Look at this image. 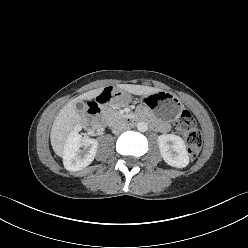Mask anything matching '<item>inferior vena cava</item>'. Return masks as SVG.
<instances>
[{
	"mask_svg": "<svg viewBox=\"0 0 248 248\" xmlns=\"http://www.w3.org/2000/svg\"><path fill=\"white\" fill-rule=\"evenodd\" d=\"M127 129H128V126L123 122H116L112 125L113 134H120Z\"/></svg>",
	"mask_w": 248,
	"mask_h": 248,
	"instance_id": "obj_1",
	"label": "inferior vena cava"
}]
</instances>
